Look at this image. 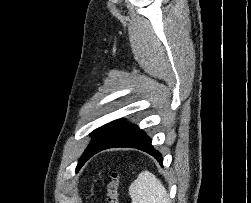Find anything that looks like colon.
<instances>
[{"label": "colon", "instance_id": "obj_1", "mask_svg": "<svg viewBox=\"0 0 251 203\" xmlns=\"http://www.w3.org/2000/svg\"><path fill=\"white\" fill-rule=\"evenodd\" d=\"M120 173L113 170L110 175V180L106 185L105 203H120L119 199Z\"/></svg>", "mask_w": 251, "mask_h": 203}]
</instances>
